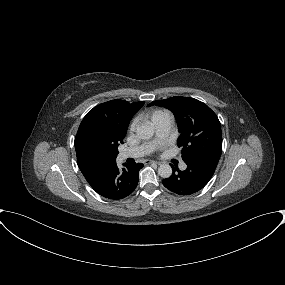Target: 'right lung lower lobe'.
<instances>
[{
    "instance_id": "obj_1",
    "label": "right lung lower lobe",
    "mask_w": 285,
    "mask_h": 285,
    "mask_svg": "<svg viewBox=\"0 0 285 285\" xmlns=\"http://www.w3.org/2000/svg\"><path fill=\"white\" fill-rule=\"evenodd\" d=\"M120 170L116 163L86 176L90 186L101 196L118 200L131 194L138 184L139 170L143 164H124Z\"/></svg>"
}]
</instances>
